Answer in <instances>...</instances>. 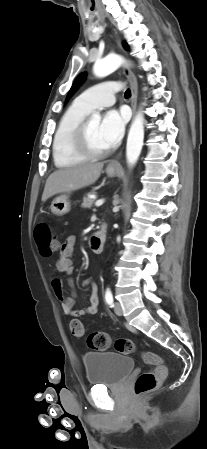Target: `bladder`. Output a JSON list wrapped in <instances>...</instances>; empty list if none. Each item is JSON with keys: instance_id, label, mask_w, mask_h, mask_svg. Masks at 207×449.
Masks as SVG:
<instances>
[{"instance_id": "1", "label": "bladder", "mask_w": 207, "mask_h": 449, "mask_svg": "<svg viewBox=\"0 0 207 449\" xmlns=\"http://www.w3.org/2000/svg\"><path fill=\"white\" fill-rule=\"evenodd\" d=\"M83 364L90 386H118L135 368L133 358L109 351L86 352Z\"/></svg>"}]
</instances>
